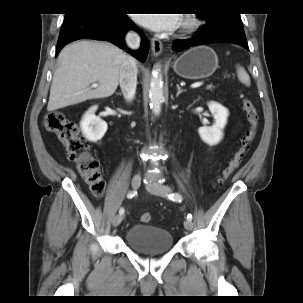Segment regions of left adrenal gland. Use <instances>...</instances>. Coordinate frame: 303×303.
Segmentation results:
<instances>
[{
	"mask_svg": "<svg viewBox=\"0 0 303 303\" xmlns=\"http://www.w3.org/2000/svg\"><path fill=\"white\" fill-rule=\"evenodd\" d=\"M176 86H177V95H176V97H178L185 90L181 89V87L178 84Z\"/></svg>",
	"mask_w": 303,
	"mask_h": 303,
	"instance_id": "a2214340",
	"label": "left adrenal gland"
}]
</instances>
